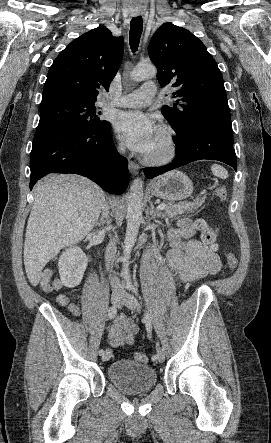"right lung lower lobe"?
I'll use <instances>...</instances> for the list:
<instances>
[{
  "label": "right lung lower lobe",
  "mask_w": 271,
  "mask_h": 443,
  "mask_svg": "<svg viewBox=\"0 0 271 443\" xmlns=\"http://www.w3.org/2000/svg\"><path fill=\"white\" fill-rule=\"evenodd\" d=\"M30 169V189L49 173L79 174L114 194L123 193L129 183L127 159L116 150L109 122L94 130L69 124L37 129Z\"/></svg>",
  "instance_id": "right-lung-lower-lobe-1"
}]
</instances>
